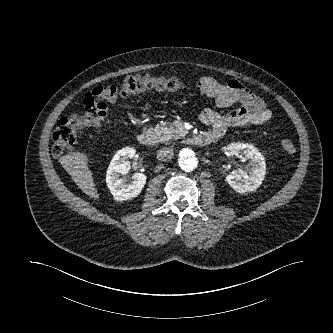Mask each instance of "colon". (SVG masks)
<instances>
[{
	"label": "colon",
	"mask_w": 333,
	"mask_h": 333,
	"mask_svg": "<svg viewBox=\"0 0 333 333\" xmlns=\"http://www.w3.org/2000/svg\"><path fill=\"white\" fill-rule=\"evenodd\" d=\"M184 83L175 78L154 75H135L127 77L121 87L97 86L88 92L83 100V110L74 111L61 118L52 133V151L56 157L69 153L75 144L79 129L95 127L106 116L107 105L121 98L139 94L147 90L177 91ZM285 154L295 156L297 148L289 139L281 141Z\"/></svg>",
	"instance_id": "colon-1"
}]
</instances>
